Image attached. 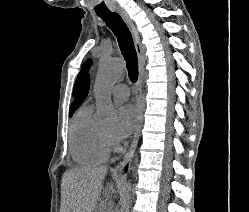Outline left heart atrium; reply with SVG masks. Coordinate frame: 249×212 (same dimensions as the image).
I'll list each match as a JSON object with an SVG mask.
<instances>
[{"label": "left heart atrium", "mask_w": 249, "mask_h": 212, "mask_svg": "<svg viewBox=\"0 0 249 212\" xmlns=\"http://www.w3.org/2000/svg\"><path fill=\"white\" fill-rule=\"evenodd\" d=\"M137 122L136 109L129 104L121 106L117 111V119L112 134L116 145L123 143L132 133Z\"/></svg>", "instance_id": "39dd6f15"}]
</instances>
